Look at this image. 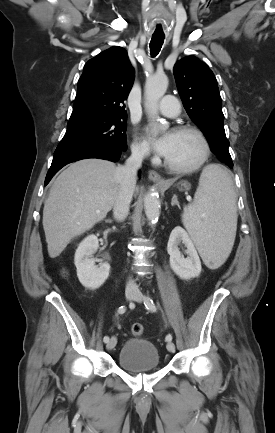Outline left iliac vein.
I'll use <instances>...</instances> for the list:
<instances>
[{
    "label": "left iliac vein",
    "mask_w": 275,
    "mask_h": 433,
    "mask_svg": "<svg viewBox=\"0 0 275 433\" xmlns=\"http://www.w3.org/2000/svg\"><path fill=\"white\" fill-rule=\"evenodd\" d=\"M143 299H144V296H143V294L140 293V292H137V293L135 294L134 298H133V300L136 301V302H142ZM166 348H167V350H168L169 352H174V351H175V345H174V343L171 342V341H168V343H167V345H166Z\"/></svg>",
    "instance_id": "obj_1"
}]
</instances>
